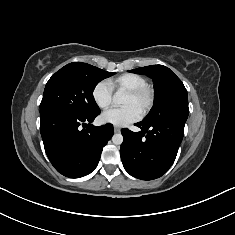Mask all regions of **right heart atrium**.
<instances>
[{
  "instance_id": "1",
  "label": "right heart atrium",
  "mask_w": 235,
  "mask_h": 235,
  "mask_svg": "<svg viewBox=\"0 0 235 235\" xmlns=\"http://www.w3.org/2000/svg\"><path fill=\"white\" fill-rule=\"evenodd\" d=\"M91 95L100 109H107L113 100V89L108 81L102 80L93 87Z\"/></svg>"
}]
</instances>
